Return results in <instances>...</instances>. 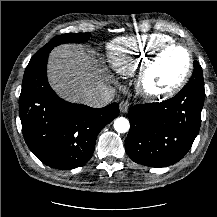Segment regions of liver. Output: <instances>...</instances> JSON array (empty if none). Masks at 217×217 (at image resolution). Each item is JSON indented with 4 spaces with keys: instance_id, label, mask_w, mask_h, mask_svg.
Instances as JSON below:
<instances>
[{
    "instance_id": "1",
    "label": "liver",
    "mask_w": 217,
    "mask_h": 217,
    "mask_svg": "<svg viewBox=\"0 0 217 217\" xmlns=\"http://www.w3.org/2000/svg\"><path fill=\"white\" fill-rule=\"evenodd\" d=\"M101 69L79 45H63L49 55L48 78L52 88L64 99L83 102L98 86H105Z\"/></svg>"
}]
</instances>
